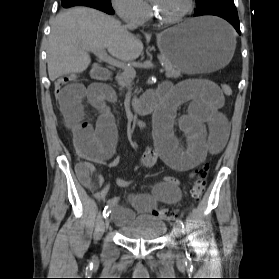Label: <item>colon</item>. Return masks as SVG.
I'll list each match as a JSON object with an SVG mask.
<instances>
[{"label": "colon", "instance_id": "1", "mask_svg": "<svg viewBox=\"0 0 279 279\" xmlns=\"http://www.w3.org/2000/svg\"><path fill=\"white\" fill-rule=\"evenodd\" d=\"M71 81L72 78L67 76L60 77L56 80L54 93L57 98L60 95L62 89ZM221 89L227 96L232 94V88L228 83H222ZM208 170L209 167L207 164H204L198 170H196V178L191 188V196L195 201H199L205 191ZM153 214L165 220H172L175 218L174 211L167 208H156L153 210Z\"/></svg>", "mask_w": 279, "mask_h": 279}]
</instances>
